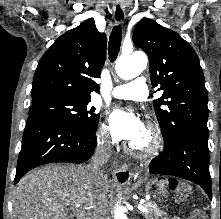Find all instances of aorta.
Here are the masks:
<instances>
[{"label": "aorta", "instance_id": "obj_1", "mask_svg": "<svg viewBox=\"0 0 221 219\" xmlns=\"http://www.w3.org/2000/svg\"><path fill=\"white\" fill-rule=\"evenodd\" d=\"M147 66L145 54L135 52L130 55H121L116 62V73L122 79H132L142 73ZM115 219H123L121 207L115 213Z\"/></svg>", "mask_w": 221, "mask_h": 219}]
</instances>
